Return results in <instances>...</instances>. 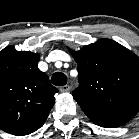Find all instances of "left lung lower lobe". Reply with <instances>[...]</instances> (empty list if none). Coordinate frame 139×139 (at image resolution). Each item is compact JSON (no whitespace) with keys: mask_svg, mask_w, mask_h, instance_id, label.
<instances>
[{"mask_svg":"<svg viewBox=\"0 0 139 139\" xmlns=\"http://www.w3.org/2000/svg\"><path fill=\"white\" fill-rule=\"evenodd\" d=\"M138 111L129 110L122 112H85V114L97 125L105 128L118 127L133 118Z\"/></svg>","mask_w":139,"mask_h":139,"instance_id":"0a47b994","label":"left lung lower lobe"}]
</instances>
